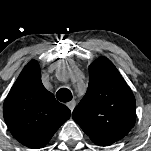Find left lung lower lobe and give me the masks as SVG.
<instances>
[{"mask_svg":"<svg viewBox=\"0 0 151 151\" xmlns=\"http://www.w3.org/2000/svg\"><path fill=\"white\" fill-rule=\"evenodd\" d=\"M112 144V143H111ZM100 146H108L110 144H99Z\"/></svg>","mask_w":151,"mask_h":151,"instance_id":"0a47b994","label":"left lung lower lobe"}]
</instances>
